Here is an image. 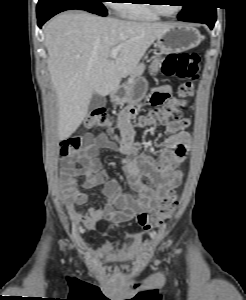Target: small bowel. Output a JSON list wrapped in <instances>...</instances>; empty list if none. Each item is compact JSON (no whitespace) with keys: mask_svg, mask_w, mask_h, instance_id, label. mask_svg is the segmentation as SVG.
Here are the masks:
<instances>
[{"mask_svg":"<svg viewBox=\"0 0 246 300\" xmlns=\"http://www.w3.org/2000/svg\"><path fill=\"white\" fill-rule=\"evenodd\" d=\"M171 87L163 84L154 89L148 102L153 104L152 96L161 93L169 97ZM185 104V101H182ZM137 103L125 107L118 115L117 124L120 137L115 142L106 135L87 134L83 138L82 148L76 160H68L60 173V183L72 222L93 230L100 222L121 223L134 215L154 207L167 192L180 185L183 174L179 169L184 162L191 145V136L186 128L188 118L181 117L166 124L169 137L161 147L159 159L143 152L135 141V129L132 120L142 108ZM102 148L117 152L122 158L123 171L128 177L134 195L122 191L120 182L105 170L98 158ZM75 162L79 166H75ZM83 176L84 189L103 186L102 193L107 201L92 206L85 211L78 206L87 201L85 193L79 190L77 178ZM149 181L152 186H150Z\"/></svg>","mask_w":246,"mask_h":300,"instance_id":"c3829d8e","label":"small bowel"}]
</instances>
